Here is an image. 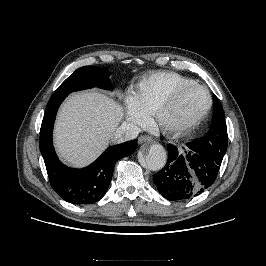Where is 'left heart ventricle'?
I'll return each mask as SVG.
<instances>
[{
    "label": "left heart ventricle",
    "instance_id": "obj_1",
    "mask_svg": "<svg viewBox=\"0 0 266 266\" xmlns=\"http://www.w3.org/2000/svg\"><path fill=\"white\" fill-rule=\"evenodd\" d=\"M207 105V97L203 90L192 87L185 91L167 114L169 123H180L198 116Z\"/></svg>",
    "mask_w": 266,
    "mask_h": 266
}]
</instances>
